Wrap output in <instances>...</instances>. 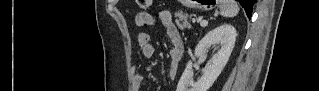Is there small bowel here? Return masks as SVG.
Segmentation results:
<instances>
[{
    "label": "small bowel",
    "mask_w": 319,
    "mask_h": 91,
    "mask_svg": "<svg viewBox=\"0 0 319 91\" xmlns=\"http://www.w3.org/2000/svg\"><path fill=\"white\" fill-rule=\"evenodd\" d=\"M157 19L162 24L164 31L171 42V48L169 50L168 76L170 79L174 80L178 73L179 63L183 57V40L169 11L159 12ZM137 23L141 26L151 25L154 23V20L149 14L141 13L137 17ZM137 42L140 51L145 58H151L154 56L155 46L150 42V37L147 33H140L137 37ZM132 82L135 91L142 90L145 78L140 72H138L137 66L133 67Z\"/></svg>",
    "instance_id": "c3829d8e"
}]
</instances>
